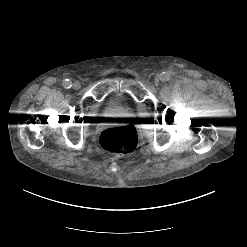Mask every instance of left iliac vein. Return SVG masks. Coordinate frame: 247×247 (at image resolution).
Here are the masks:
<instances>
[{"label":"left iliac vein","mask_w":247,"mask_h":247,"mask_svg":"<svg viewBox=\"0 0 247 247\" xmlns=\"http://www.w3.org/2000/svg\"><path fill=\"white\" fill-rule=\"evenodd\" d=\"M159 82H160V79L158 77H156L154 79V84L157 86L159 84Z\"/></svg>","instance_id":"1"}]
</instances>
